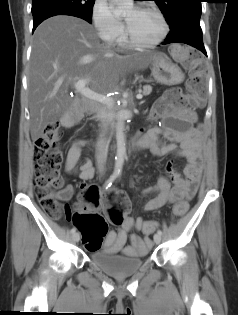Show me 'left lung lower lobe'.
Wrapping results in <instances>:
<instances>
[{
    "mask_svg": "<svg viewBox=\"0 0 238 315\" xmlns=\"http://www.w3.org/2000/svg\"><path fill=\"white\" fill-rule=\"evenodd\" d=\"M169 43H185L191 45L207 56L202 40L200 18H190L181 23L177 29L171 31L169 35H167L165 42H163V44Z\"/></svg>",
    "mask_w": 238,
    "mask_h": 315,
    "instance_id": "left-lung-lower-lobe-1",
    "label": "left lung lower lobe"
}]
</instances>
